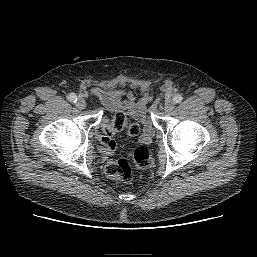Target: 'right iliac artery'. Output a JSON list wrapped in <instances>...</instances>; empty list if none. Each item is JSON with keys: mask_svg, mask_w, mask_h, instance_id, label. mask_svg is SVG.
Returning a JSON list of instances; mask_svg holds the SVG:
<instances>
[{"mask_svg": "<svg viewBox=\"0 0 257 257\" xmlns=\"http://www.w3.org/2000/svg\"><path fill=\"white\" fill-rule=\"evenodd\" d=\"M68 100L72 103H75L77 101V96L74 93H71L68 95Z\"/></svg>", "mask_w": 257, "mask_h": 257, "instance_id": "right-iliac-artery-1", "label": "right iliac artery"}]
</instances>
